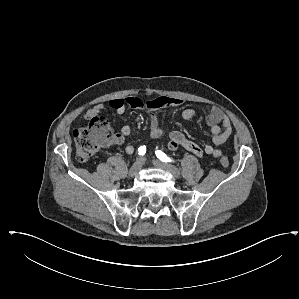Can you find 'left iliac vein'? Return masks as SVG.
<instances>
[{"label":"left iliac vein","mask_w":299,"mask_h":299,"mask_svg":"<svg viewBox=\"0 0 299 299\" xmlns=\"http://www.w3.org/2000/svg\"><path fill=\"white\" fill-rule=\"evenodd\" d=\"M153 165L157 168H160V169H163V170L169 172L175 178H179L181 175L180 171L175 166H172L167 163H163L159 160H153Z\"/></svg>","instance_id":"left-iliac-vein-1"}]
</instances>
